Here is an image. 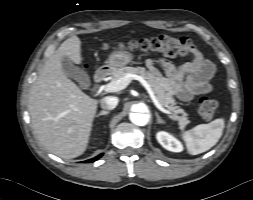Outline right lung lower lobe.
<instances>
[{
    "instance_id": "1",
    "label": "right lung lower lobe",
    "mask_w": 253,
    "mask_h": 200,
    "mask_svg": "<svg viewBox=\"0 0 253 200\" xmlns=\"http://www.w3.org/2000/svg\"><path fill=\"white\" fill-rule=\"evenodd\" d=\"M101 156H102V154L98 155L97 157H95V158H93V159H89V160L85 161V163L94 162V161H96L97 159H99Z\"/></svg>"
}]
</instances>
